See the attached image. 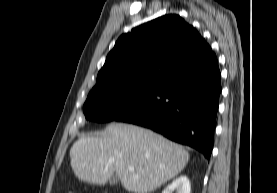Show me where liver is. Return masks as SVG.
<instances>
[{"mask_svg":"<svg viewBox=\"0 0 277 193\" xmlns=\"http://www.w3.org/2000/svg\"><path fill=\"white\" fill-rule=\"evenodd\" d=\"M189 157L184 147L160 134L116 122L97 136L81 137L70 150L71 168L78 179L104 185L116 173L123 187L136 193L152 192L173 179Z\"/></svg>","mask_w":277,"mask_h":193,"instance_id":"1","label":"liver"}]
</instances>
